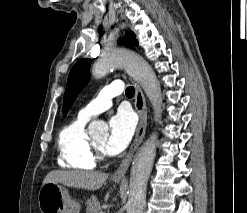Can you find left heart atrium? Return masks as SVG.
Here are the masks:
<instances>
[{
    "mask_svg": "<svg viewBox=\"0 0 247 213\" xmlns=\"http://www.w3.org/2000/svg\"><path fill=\"white\" fill-rule=\"evenodd\" d=\"M135 130L133 115L125 110L118 111L109 120V136L104 150L110 155L122 152L130 143Z\"/></svg>",
    "mask_w": 247,
    "mask_h": 213,
    "instance_id": "obj_1",
    "label": "left heart atrium"
}]
</instances>
